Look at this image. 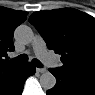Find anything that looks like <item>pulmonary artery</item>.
I'll return each mask as SVG.
<instances>
[{"instance_id":"pulmonary-artery-1","label":"pulmonary artery","mask_w":95,"mask_h":95,"mask_svg":"<svg viewBox=\"0 0 95 95\" xmlns=\"http://www.w3.org/2000/svg\"><path fill=\"white\" fill-rule=\"evenodd\" d=\"M32 46L36 56L41 59L45 64L51 67L59 66L58 59L48 52L46 43L40 35H36L33 39Z\"/></svg>"}]
</instances>
